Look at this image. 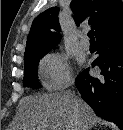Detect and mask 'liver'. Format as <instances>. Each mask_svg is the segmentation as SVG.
Here are the masks:
<instances>
[{"label":"liver","instance_id":"liver-1","mask_svg":"<svg viewBox=\"0 0 123 130\" xmlns=\"http://www.w3.org/2000/svg\"><path fill=\"white\" fill-rule=\"evenodd\" d=\"M75 113L79 130L101 122L86 102L71 93L26 96L19 102L10 130H72Z\"/></svg>","mask_w":123,"mask_h":130}]
</instances>
